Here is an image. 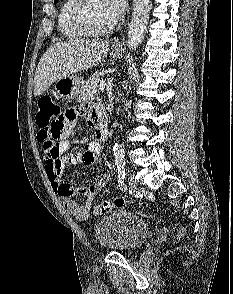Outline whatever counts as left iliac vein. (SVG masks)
<instances>
[{
    "mask_svg": "<svg viewBox=\"0 0 233 294\" xmlns=\"http://www.w3.org/2000/svg\"><path fill=\"white\" fill-rule=\"evenodd\" d=\"M129 188L134 193H141L142 192V189L138 188L137 183L133 178H131L129 180Z\"/></svg>",
    "mask_w": 233,
    "mask_h": 294,
    "instance_id": "1",
    "label": "left iliac vein"
}]
</instances>
